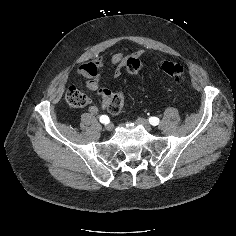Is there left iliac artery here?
Masks as SVG:
<instances>
[{
    "mask_svg": "<svg viewBox=\"0 0 236 236\" xmlns=\"http://www.w3.org/2000/svg\"><path fill=\"white\" fill-rule=\"evenodd\" d=\"M159 118H157V117H150L149 118V122H150V124L151 125H153V126H156V125H158L159 124Z\"/></svg>",
    "mask_w": 236,
    "mask_h": 236,
    "instance_id": "left-iliac-artery-1",
    "label": "left iliac artery"
}]
</instances>
